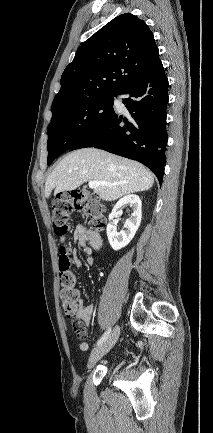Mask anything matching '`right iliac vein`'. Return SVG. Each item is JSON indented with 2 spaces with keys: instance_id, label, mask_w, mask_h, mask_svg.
Listing matches in <instances>:
<instances>
[{
  "instance_id": "obj_1",
  "label": "right iliac vein",
  "mask_w": 213,
  "mask_h": 433,
  "mask_svg": "<svg viewBox=\"0 0 213 433\" xmlns=\"http://www.w3.org/2000/svg\"><path fill=\"white\" fill-rule=\"evenodd\" d=\"M120 334L119 326H116L110 336L98 347H96L88 361V367H93L105 354H107L115 345Z\"/></svg>"
}]
</instances>
